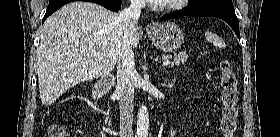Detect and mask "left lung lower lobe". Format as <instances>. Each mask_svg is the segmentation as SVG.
I'll return each mask as SVG.
<instances>
[{"instance_id":"0a47b994","label":"left lung lower lobe","mask_w":280,"mask_h":137,"mask_svg":"<svg viewBox=\"0 0 280 137\" xmlns=\"http://www.w3.org/2000/svg\"><path fill=\"white\" fill-rule=\"evenodd\" d=\"M181 16H200V17H217L228 23L240 39L239 22L235 14L234 8L225 6H203L190 7L181 11L165 15L160 18V21L181 17Z\"/></svg>"}]
</instances>
